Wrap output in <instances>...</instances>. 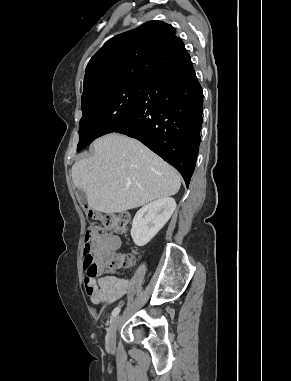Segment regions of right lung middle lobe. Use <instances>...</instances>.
Here are the masks:
<instances>
[{
    "label": "right lung middle lobe",
    "instance_id": "obj_1",
    "mask_svg": "<svg viewBox=\"0 0 291 381\" xmlns=\"http://www.w3.org/2000/svg\"><path fill=\"white\" fill-rule=\"evenodd\" d=\"M144 86L145 82L120 84L83 100L77 151L130 119Z\"/></svg>",
    "mask_w": 291,
    "mask_h": 381
}]
</instances>
